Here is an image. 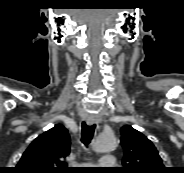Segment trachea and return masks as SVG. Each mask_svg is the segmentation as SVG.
Segmentation results:
<instances>
[{
  "label": "trachea",
  "mask_w": 184,
  "mask_h": 173,
  "mask_svg": "<svg viewBox=\"0 0 184 173\" xmlns=\"http://www.w3.org/2000/svg\"><path fill=\"white\" fill-rule=\"evenodd\" d=\"M95 131V124L94 125H87L86 123L82 124V131H81V141L85 146H88L93 138Z\"/></svg>",
  "instance_id": "trachea-1"
}]
</instances>
